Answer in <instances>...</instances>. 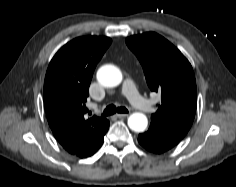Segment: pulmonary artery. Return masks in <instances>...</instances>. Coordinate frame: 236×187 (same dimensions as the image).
<instances>
[{
  "mask_svg": "<svg viewBox=\"0 0 236 187\" xmlns=\"http://www.w3.org/2000/svg\"><path fill=\"white\" fill-rule=\"evenodd\" d=\"M123 95L126 99L138 109L150 111L152 106L146 102L138 93L136 86L131 78H126L122 86Z\"/></svg>",
  "mask_w": 236,
  "mask_h": 187,
  "instance_id": "pulmonary-artery-1",
  "label": "pulmonary artery"
}]
</instances>
